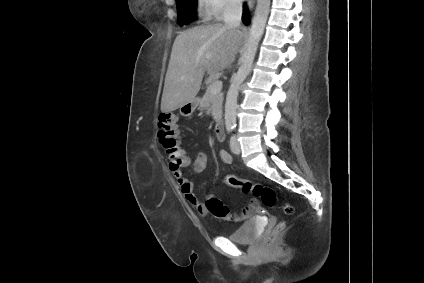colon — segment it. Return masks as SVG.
<instances>
[{
	"label": "colon",
	"instance_id": "obj_1",
	"mask_svg": "<svg viewBox=\"0 0 424 283\" xmlns=\"http://www.w3.org/2000/svg\"><path fill=\"white\" fill-rule=\"evenodd\" d=\"M158 139L162 148L166 152L169 165L172 171L178 170L188 164V157L180 147L179 135L177 131V115L173 113L161 114L158 118ZM223 182L231 188L239 189L245 194H251L254 198L260 199L262 204L267 207H273L278 201V197L274 189L261 183H255L248 179L240 178L234 175H226ZM207 211L216 219L232 220L234 215L231 214L226 206L213 196L207 198L205 202ZM255 208V202H251L245 213L252 214ZM285 214H294V207L290 203L283 204ZM284 229V224H279L271 238H274Z\"/></svg>",
	"mask_w": 424,
	"mask_h": 283
}]
</instances>
